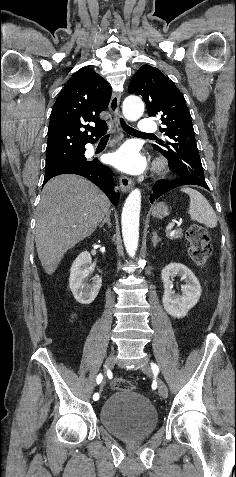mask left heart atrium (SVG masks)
Here are the masks:
<instances>
[{"label": "left heart atrium", "mask_w": 236, "mask_h": 477, "mask_svg": "<svg viewBox=\"0 0 236 477\" xmlns=\"http://www.w3.org/2000/svg\"><path fill=\"white\" fill-rule=\"evenodd\" d=\"M108 162L117 169L131 174L142 172L146 166L144 156L132 144H125L117 151L111 153L108 156Z\"/></svg>", "instance_id": "39dd6f15"}]
</instances>
